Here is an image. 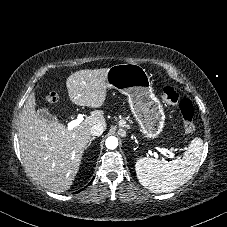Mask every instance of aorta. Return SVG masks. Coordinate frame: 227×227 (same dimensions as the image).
Listing matches in <instances>:
<instances>
[{"instance_id": "aorta-1", "label": "aorta", "mask_w": 227, "mask_h": 227, "mask_svg": "<svg viewBox=\"0 0 227 227\" xmlns=\"http://www.w3.org/2000/svg\"><path fill=\"white\" fill-rule=\"evenodd\" d=\"M106 147L108 149H115L118 146V139L114 136H110L106 139Z\"/></svg>"}]
</instances>
